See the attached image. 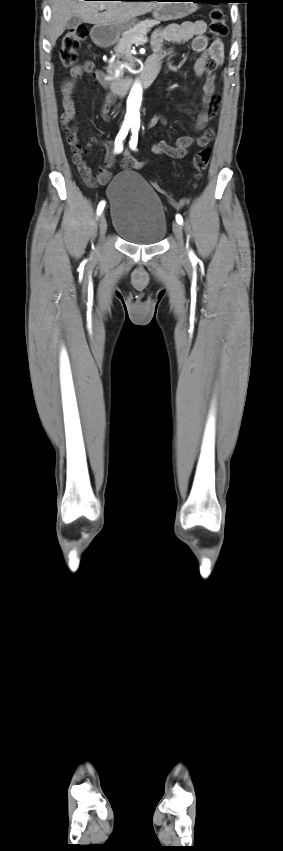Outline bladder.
<instances>
[{
    "instance_id": "31cf9c89",
    "label": "bladder",
    "mask_w": 283,
    "mask_h": 851,
    "mask_svg": "<svg viewBox=\"0 0 283 851\" xmlns=\"http://www.w3.org/2000/svg\"><path fill=\"white\" fill-rule=\"evenodd\" d=\"M112 224L125 241L137 245H153L167 232L163 204L154 190L139 174L131 171L115 176L107 188Z\"/></svg>"
}]
</instances>
